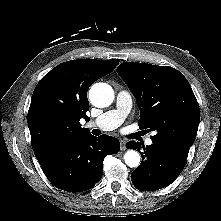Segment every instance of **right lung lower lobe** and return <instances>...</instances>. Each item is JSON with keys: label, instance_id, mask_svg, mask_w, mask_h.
Segmentation results:
<instances>
[{"label": "right lung lower lobe", "instance_id": "right-lung-lower-lobe-1", "mask_svg": "<svg viewBox=\"0 0 221 221\" xmlns=\"http://www.w3.org/2000/svg\"><path fill=\"white\" fill-rule=\"evenodd\" d=\"M120 150L119 140L107 135H87L64 147L40 165L49 181L68 192H82L94 187L103 174L106 155Z\"/></svg>", "mask_w": 221, "mask_h": 221}]
</instances>
